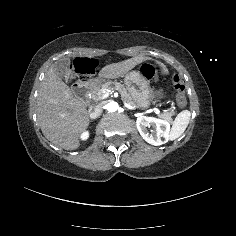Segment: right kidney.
Here are the masks:
<instances>
[{
	"mask_svg": "<svg viewBox=\"0 0 236 236\" xmlns=\"http://www.w3.org/2000/svg\"><path fill=\"white\" fill-rule=\"evenodd\" d=\"M89 138H90V131L89 130H83L78 135V139L81 142H86Z\"/></svg>",
	"mask_w": 236,
	"mask_h": 236,
	"instance_id": "1",
	"label": "right kidney"
}]
</instances>
